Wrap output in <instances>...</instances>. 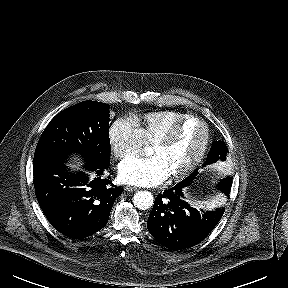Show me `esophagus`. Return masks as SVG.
I'll return each mask as SVG.
<instances>
[{"label": "esophagus", "instance_id": "esophagus-1", "mask_svg": "<svg viewBox=\"0 0 288 288\" xmlns=\"http://www.w3.org/2000/svg\"><path fill=\"white\" fill-rule=\"evenodd\" d=\"M124 189H125L126 191H128V192H134V191H137V190H138L137 187L130 186V185L125 186Z\"/></svg>", "mask_w": 288, "mask_h": 288}]
</instances>
